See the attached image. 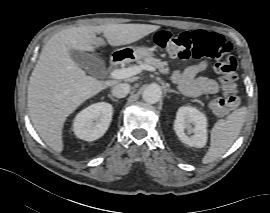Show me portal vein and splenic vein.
<instances>
[{
    "label": "portal vein and splenic vein",
    "mask_w": 270,
    "mask_h": 213,
    "mask_svg": "<svg viewBox=\"0 0 270 213\" xmlns=\"http://www.w3.org/2000/svg\"><path fill=\"white\" fill-rule=\"evenodd\" d=\"M142 70H148V71L153 72L156 69L151 65L143 64L140 66H132V67L124 68V69L113 70L110 73V76L114 79H126V78H130L134 75H137Z\"/></svg>",
    "instance_id": "obj_1"
}]
</instances>
